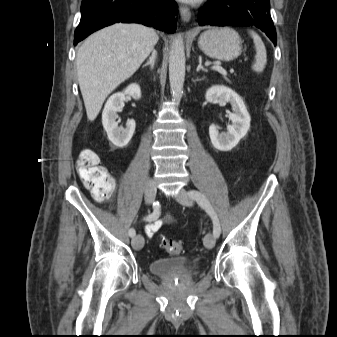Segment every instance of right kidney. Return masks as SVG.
<instances>
[{
  "label": "right kidney",
  "mask_w": 337,
  "mask_h": 337,
  "mask_svg": "<svg viewBox=\"0 0 337 337\" xmlns=\"http://www.w3.org/2000/svg\"><path fill=\"white\" fill-rule=\"evenodd\" d=\"M125 95L138 100L141 97V90L138 84L129 85L123 92L113 94L107 100L103 113L102 124L107 132L108 139L118 148L125 147L131 140L135 131V121L128 120L126 127H119L116 119L118 112L124 107Z\"/></svg>",
  "instance_id": "right-kidney-1"
}]
</instances>
